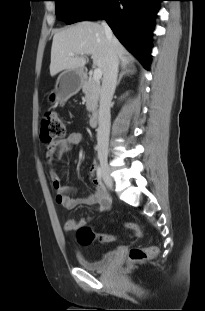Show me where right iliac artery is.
<instances>
[{
	"label": "right iliac artery",
	"mask_w": 205,
	"mask_h": 311,
	"mask_svg": "<svg viewBox=\"0 0 205 311\" xmlns=\"http://www.w3.org/2000/svg\"><path fill=\"white\" fill-rule=\"evenodd\" d=\"M96 170H97V177H98V179H100L101 180V178H102V168H101V166L98 164L97 166H96Z\"/></svg>",
	"instance_id": "1"
}]
</instances>
